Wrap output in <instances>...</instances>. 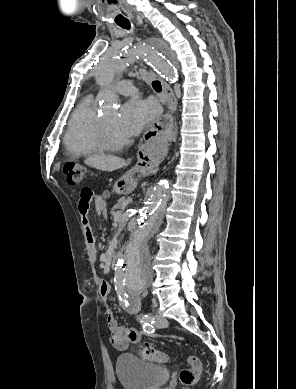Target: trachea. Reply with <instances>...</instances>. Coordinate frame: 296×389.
<instances>
[{
    "label": "trachea",
    "instance_id": "obj_1",
    "mask_svg": "<svg viewBox=\"0 0 296 389\" xmlns=\"http://www.w3.org/2000/svg\"><path fill=\"white\" fill-rule=\"evenodd\" d=\"M122 28H125V29H130V23H126V24H122L120 25ZM152 87L153 89L156 91V92H161L162 88H161V83L159 81H153L152 82Z\"/></svg>",
    "mask_w": 296,
    "mask_h": 389
}]
</instances>
